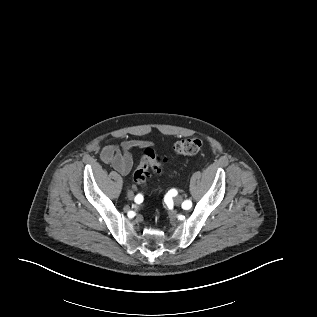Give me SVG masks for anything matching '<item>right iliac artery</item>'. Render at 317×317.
Wrapping results in <instances>:
<instances>
[{
	"label": "right iliac artery",
	"instance_id": "right-iliac-artery-1",
	"mask_svg": "<svg viewBox=\"0 0 317 317\" xmlns=\"http://www.w3.org/2000/svg\"><path fill=\"white\" fill-rule=\"evenodd\" d=\"M135 202L137 203V204H140L142 201H143V196H142V194H138V195H136V197H135Z\"/></svg>",
	"mask_w": 317,
	"mask_h": 317
}]
</instances>
